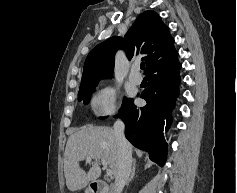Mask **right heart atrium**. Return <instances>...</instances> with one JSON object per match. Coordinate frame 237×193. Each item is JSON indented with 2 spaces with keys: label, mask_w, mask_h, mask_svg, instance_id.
<instances>
[{
  "label": "right heart atrium",
  "mask_w": 237,
  "mask_h": 193,
  "mask_svg": "<svg viewBox=\"0 0 237 193\" xmlns=\"http://www.w3.org/2000/svg\"><path fill=\"white\" fill-rule=\"evenodd\" d=\"M117 91L106 86L100 89L91 100V107L97 116L112 115L116 111Z\"/></svg>",
  "instance_id": "right-heart-atrium-1"
}]
</instances>
